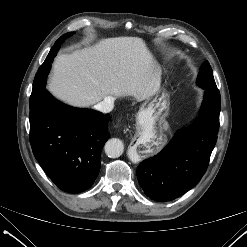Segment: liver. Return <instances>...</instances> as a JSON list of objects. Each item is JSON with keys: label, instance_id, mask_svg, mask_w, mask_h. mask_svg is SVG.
<instances>
[{"label": "liver", "instance_id": "1", "mask_svg": "<svg viewBox=\"0 0 247 247\" xmlns=\"http://www.w3.org/2000/svg\"><path fill=\"white\" fill-rule=\"evenodd\" d=\"M160 85L161 70L145 42L115 37L57 56L48 90L57 99L84 108L108 96L142 101L155 95Z\"/></svg>", "mask_w": 247, "mask_h": 247}]
</instances>
